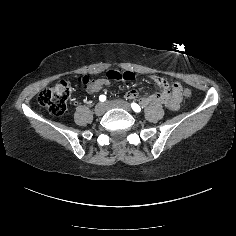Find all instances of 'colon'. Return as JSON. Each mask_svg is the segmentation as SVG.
<instances>
[{
  "label": "colon",
  "instance_id": "5ec220e1",
  "mask_svg": "<svg viewBox=\"0 0 236 236\" xmlns=\"http://www.w3.org/2000/svg\"><path fill=\"white\" fill-rule=\"evenodd\" d=\"M134 79V74L130 71L110 70L107 73V80L112 82H128ZM79 82L89 85L91 83L87 76L80 77ZM178 87V85H175ZM70 85L65 80L58 81L52 87L46 88L38 95L39 104L46 108L52 115L60 116L67 109V101L70 96ZM185 97L191 96L189 89H183Z\"/></svg>",
  "mask_w": 236,
  "mask_h": 236
}]
</instances>
